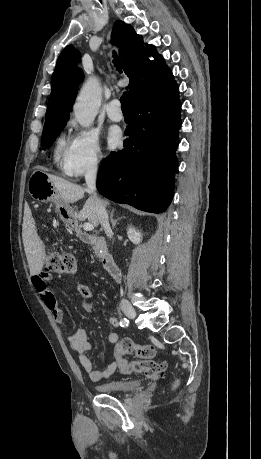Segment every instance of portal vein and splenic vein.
Instances as JSON below:
<instances>
[{
    "instance_id": "obj_1",
    "label": "portal vein and splenic vein",
    "mask_w": 261,
    "mask_h": 459,
    "mask_svg": "<svg viewBox=\"0 0 261 459\" xmlns=\"http://www.w3.org/2000/svg\"><path fill=\"white\" fill-rule=\"evenodd\" d=\"M83 229H84L85 231H91V230L94 229V225L91 224V223H85V224L83 225Z\"/></svg>"
}]
</instances>
